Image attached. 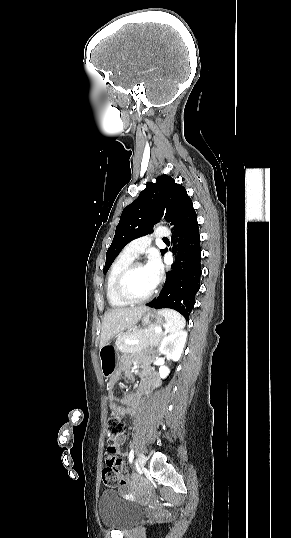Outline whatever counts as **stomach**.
Returning a JSON list of instances; mask_svg holds the SVG:
<instances>
[{
	"label": "stomach",
	"instance_id": "stomach-1",
	"mask_svg": "<svg viewBox=\"0 0 291 538\" xmlns=\"http://www.w3.org/2000/svg\"><path fill=\"white\" fill-rule=\"evenodd\" d=\"M141 321L147 328L167 326L166 319L159 312L147 311L141 317ZM99 358L101 361V373L105 379H110L118 366V350L109 344L100 348Z\"/></svg>",
	"mask_w": 291,
	"mask_h": 538
}]
</instances>
